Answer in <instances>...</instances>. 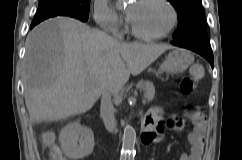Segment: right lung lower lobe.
I'll list each match as a JSON object with an SVG mask.
<instances>
[{"mask_svg":"<svg viewBox=\"0 0 242 160\" xmlns=\"http://www.w3.org/2000/svg\"><path fill=\"white\" fill-rule=\"evenodd\" d=\"M35 25H31V28L34 27Z\"/></svg>","mask_w":242,"mask_h":160,"instance_id":"obj_1","label":"right lung lower lobe"}]
</instances>
